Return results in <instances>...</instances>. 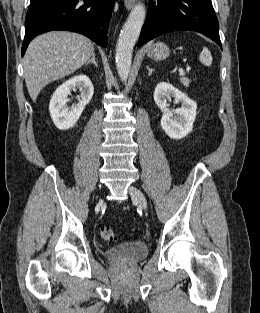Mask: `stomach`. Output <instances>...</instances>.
<instances>
[{"label": "stomach", "mask_w": 260, "mask_h": 313, "mask_svg": "<svg viewBox=\"0 0 260 313\" xmlns=\"http://www.w3.org/2000/svg\"><path fill=\"white\" fill-rule=\"evenodd\" d=\"M147 54L154 60H164L169 56V48L162 42L153 43L149 46Z\"/></svg>", "instance_id": "obj_1"}]
</instances>
